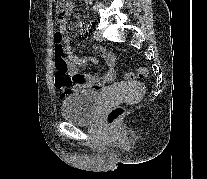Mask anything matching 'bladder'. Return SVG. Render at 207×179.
Here are the masks:
<instances>
[{"instance_id": "31cf9c89", "label": "bladder", "mask_w": 207, "mask_h": 179, "mask_svg": "<svg viewBox=\"0 0 207 179\" xmlns=\"http://www.w3.org/2000/svg\"><path fill=\"white\" fill-rule=\"evenodd\" d=\"M99 97L93 90L72 91L63 100L62 119L76 125L93 123L100 110Z\"/></svg>"}]
</instances>
